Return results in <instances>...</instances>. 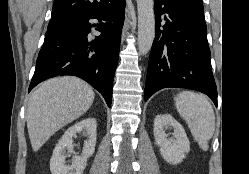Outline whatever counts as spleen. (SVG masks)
<instances>
[{
    "label": "spleen",
    "mask_w": 249,
    "mask_h": 174,
    "mask_svg": "<svg viewBox=\"0 0 249 174\" xmlns=\"http://www.w3.org/2000/svg\"><path fill=\"white\" fill-rule=\"evenodd\" d=\"M175 105L200 148L207 151L208 141L215 131V114L206 96L192 91H182L176 96Z\"/></svg>",
    "instance_id": "1"
}]
</instances>
